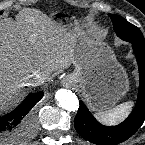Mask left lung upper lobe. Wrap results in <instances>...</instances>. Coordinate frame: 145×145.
<instances>
[{
	"label": "left lung upper lobe",
	"mask_w": 145,
	"mask_h": 145,
	"mask_svg": "<svg viewBox=\"0 0 145 145\" xmlns=\"http://www.w3.org/2000/svg\"><path fill=\"white\" fill-rule=\"evenodd\" d=\"M111 19L114 23V30L118 37L131 43H137L145 46V40L140 30L124 20L120 16L113 15Z\"/></svg>",
	"instance_id": "obj_1"
}]
</instances>
